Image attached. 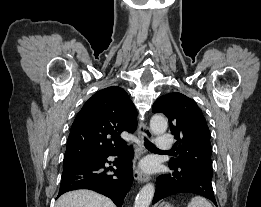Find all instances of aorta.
<instances>
[{
  "label": "aorta",
  "instance_id": "aorta-1",
  "mask_svg": "<svg viewBox=\"0 0 261 207\" xmlns=\"http://www.w3.org/2000/svg\"><path fill=\"white\" fill-rule=\"evenodd\" d=\"M168 127V122L161 115H154L150 121V129L154 134H163ZM155 187L153 184H146L136 197L134 207H149L154 196Z\"/></svg>",
  "mask_w": 261,
  "mask_h": 207
}]
</instances>
